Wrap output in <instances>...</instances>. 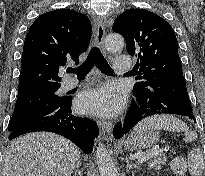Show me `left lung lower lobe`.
<instances>
[{"label": "left lung lower lobe", "instance_id": "0a47b994", "mask_svg": "<svg viewBox=\"0 0 205 176\" xmlns=\"http://www.w3.org/2000/svg\"><path fill=\"white\" fill-rule=\"evenodd\" d=\"M130 109L123 123L113 129L116 139L121 138L141 120L157 114H177L192 120L191 103L184 76L162 77L148 88L134 92Z\"/></svg>", "mask_w": 205, "mask_h": 176}]
</instances>
